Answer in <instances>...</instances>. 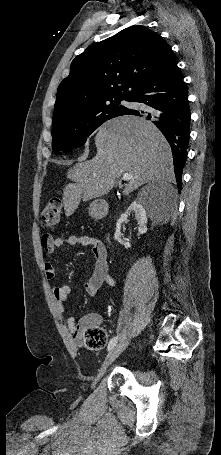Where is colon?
<instances>
[{
  "instance_id": "colon-1",
  "label": "colon",
  "mask_w": 221,
  "mask_h": 455,
  "mask_svg": "<svg viewBox=\"0 0 221 455\" xmlns=\"http://www.w3.org/2000/svg\"><path fill=\"white\" fill-rule=\"evenodd\" d=\"M62 210V199L60 197L51 198L42 210V222L46 227H55L60 219ZM85 346L91 350H100L106 345V333L98 325L92 324L85 329Z\"/></svg>"
}]
</instances>
